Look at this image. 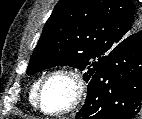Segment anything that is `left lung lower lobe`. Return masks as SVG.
I'll return each mask as SVG.
<instances>
[{
    "label": "left lung lower lobe",
    "mask_w": 142,
    "mask_h": 119,
    "mask_svg": "<svg viewBox=\"0 0 142 119\" xmlns=\"http://www.w3.org/2000/svg\"><path fill=\"white\" fill-rule=\"evenodd\" d=\"M142 30L115 46L89 80L77 119H141Z\"/></svg>",
    "instance_id": "obj_1"
}]
</instances>
